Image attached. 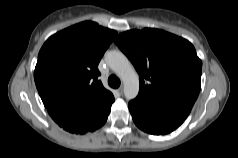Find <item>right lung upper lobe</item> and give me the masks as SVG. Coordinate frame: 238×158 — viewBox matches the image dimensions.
<instances>
[{"label": "right lung upper lobe", "mask_w": 238, "mask_h": 158, "mask_svg": "<svg viewBox=\"0 0 238 158\" xmlns=\"http://www.w3.org/2000/svg\"><path fill=\"white\" fill-rule=\"evenodd\" d=\"M117 32L85 21L52 35L42 46L34 79L44 106L114 100L98 80V64Z\"/></svg>", "instance_id": "obj_1"}]
</instances>
